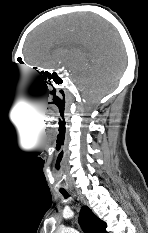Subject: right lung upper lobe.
I'll return each mask as SVG.
<instances>
[{
	"mask_svg": "<svg viewBox=\"0 0 148 233\" xmlns=\"http://www.w3.org/2000/svg\"><path fill=\"white\" fill-rule=\"evenodd\" d=\"M79 223L85 233H107L106 223L100 220L87 206L80 212Z\"/></svg>",
	"mask_w": 148,
	"mask_h": 233,
	"instance_id": "right-lung-upper-lobe-1",
	"label": "right lung upper lobe"
}]
</instances>
